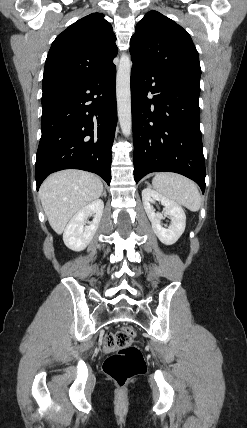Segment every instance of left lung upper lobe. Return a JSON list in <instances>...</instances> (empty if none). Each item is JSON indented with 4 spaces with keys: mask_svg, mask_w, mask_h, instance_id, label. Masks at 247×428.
<instances>
[{
    "mask_svg": "<svg viewBox=\"0 0 247 428\" xmlns=\"http://www.w3.org/2000/svg\"><path fill=\"white\" fill-rule=\"evenodd\" d=\"M132 61L148 65L166 79L200 90L198 52L189 35L157 11L148 12L130 40Z\"/></svg>",
    "mask_w": 247,
    "mask_h": 428,
    "instance_id": "left-lung-upper-lobe-1",
    "label": "left lung upper lobe"
}]
</instances>
